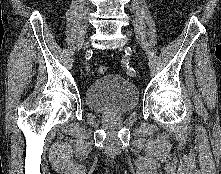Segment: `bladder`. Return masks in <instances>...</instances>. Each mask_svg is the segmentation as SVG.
<instances>
[{"mask_svg": "<svg viewBox=\"0 0 221 174\" xmlns=\"http://www.w3.org/2000/svg\"><path fill=\"white\" fill-rule=\"evenodd\" d=\"M86 103L97 112L128 113L137 107L139 91L118 74H104L87 87Z\"/></svg>", "mask_w": 221, "mask_h": 174, "instance_id": "obj_1", "label": "bladder"}]
</instances>
